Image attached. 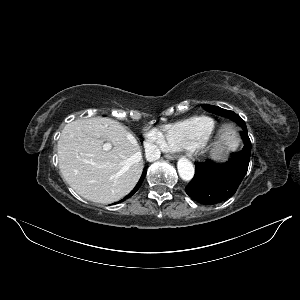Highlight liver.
I'll use <instances>...</instances> for the list:
<instances>
[{"instance_id":"1","label":"liver","mask_w":300,"mask_h":300,"mask_svg":"<svg viewBox=\"0 0 300 300\" xmlns=\"http://www.w3.org/2000/svg\"><path fill=\"white\" fill-rule=\"evenodd\" d=\"M233 145L231 131L221 135ZM111 144L105 151L103 142ZM59 168L64 180L80 196L110 204L126 196L138 182L143 160L136 138L119 122L94 117L75 120L62 130L57 144Z\"/></svg>"}]
</instances>
